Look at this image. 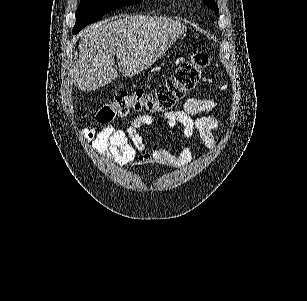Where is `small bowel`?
<instances>
[{
  "label": "small bowel",
  "instance_id": "1",
  "mask_svg": "<svg viewBox=\"0 0 307 301\" xmlns=\"http://www.w3.org/2000/svg\"><path fill=\"white\" fill-rule=\"evenodd\" d=\"M217 103L213 99L191 97L185 101L183 107L164 114L162 121L153 116L139 114L133 117L125 129H115L112 125H105L97 130L95 126H88L82 130L86 141L92 142L93 148L115 160L119 165H128L136 158V153L145 150L143 134L150 132L152 127L180 128L184 139L198 137L209 150L216 146L215 134L221 132L219 120L210 116L194 118V115L213 111ZM192 157L189 147L183 146L179 152L168 148H159L152 152H145L138 157L139 164H156L164 167L178 168L186 165Z\"/></svg>",
  "mask_w": 307,
  "mask_h": 301
}]
</instances>
